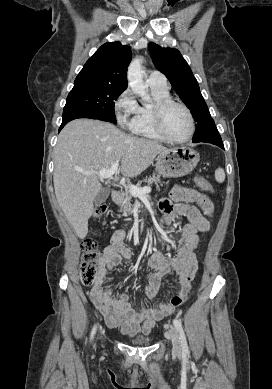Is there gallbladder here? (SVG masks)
<instances>
[{"label":"gallbladder","mask_w":272,"mask_h":389,"mask_svg":"<svg viewBox=\"0 0 272 389\" xmlns=\"http://www.w3.org/2000/svg\"><path fill=\"white\" fill-rule=\"evenodd\" d=\"M109 194L110 190L108 188H102L94 199L95 204H101L105 202Z\"/></svg>","instance_id":"gallbladder-1"}]
</instances>
